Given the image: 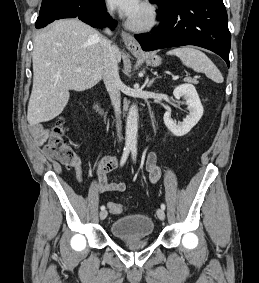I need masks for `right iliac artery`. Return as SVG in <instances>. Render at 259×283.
I'll return each instance as SVG.
<instances>
[{
  "label": "right iliac artery",
  "mask_w": 259,
  "mask_h": 283,
  "mask_svg": "<svg viewBox=\"0 0 259 283\" xmlns=\"http://www.w3.org/2000/svg\"><path fill=\"white\" fill-rule=\"evenodd\" d=\"M130 150H131V148L128 147V146H126V147L124 148L123 155H122L121 161H120V165H121V166H123L124 163L126 162V160H127V158H128V155H129V153H130ZM100 209H101V210H105V206L102 205V206L100 207Z\"/></svg>",
  "instance_id": "right-iliac-artery-1"
}]
</instances>
